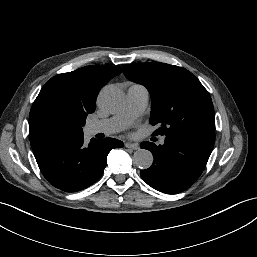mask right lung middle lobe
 Listing matches in <instances>:
<instances>
[{
    "instance_id": "right-lung-middle-lobe-1",
    "label": "right lung middle lobe",
    "mask_w": 257,
    "mask_h": 257,
    "mask_svg": "<svg viewBox=\"0 0 257 257\" xmlns=\"http://www.w3.org/2000/svg\"><path fill=\"white\" fill-rule=\"evenodd\" d=\"M87 114L72 103L53 100L41 111L40 120L44 127L59 135L77 136L83 134Z\"/></svg>"
}]
</instances>
